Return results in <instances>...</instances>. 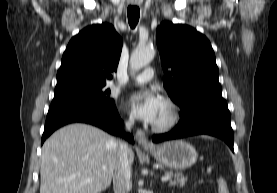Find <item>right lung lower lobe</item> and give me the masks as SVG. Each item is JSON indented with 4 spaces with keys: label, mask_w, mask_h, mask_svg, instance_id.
I'll return each mask as SVG.
<instances>
[{
    "label": "right lung lower lobe",
    "mask_w": 277,
    "mask_h": 193,
    "mask_svg": "<svg viewBox=\"0 0 277 193\" xmlns=\"http://www.w3.org/2000/svg\"><path fill=\"white\" fill-rule=\"evenodd\" d=\"M73 122L92 124L111 134L123 135V122L115 105L102 106L81 99L54 98L47 114L41 144L56 129ZM126 138L134 143L132 135Z\"/></svg>",
    "instance_id": "obj_1"
}]
</instances>
